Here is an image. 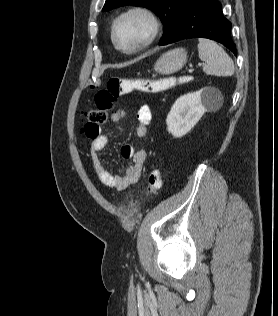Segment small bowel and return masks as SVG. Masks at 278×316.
I'll list each match as a JSON object with an SVG mask.
<instances>
[{
    "instance_id": "small-bowel-1",
    "label": "small bowel",
    "mask_w": 278,
    "mask_h": 316,
    "mask_svg": "<svg viewBox=\"0 0 278 316\" xmlns=\"http://www.w3.org/2000/svg\"><path fill=\"white\" fill-rule=\"evenodd\" d=\"M125 116L126 112L124 110L115 111L111 114V121L113 123H119L125 118ZM136 119V136L138 138H143L146 136L152 120L150 107L146 104L142 105L136 113ZM85 135L91 140L90 156L95 173L101 183L109 188L123 191L139 181L147 159L145 151L135 150V148L131 145L123 146L121 148V155L123 158L131 159V164L125 170L123 175H115L101 159V153L108 143L107 136L102 134L100 130L95 135L91 136L86 133Z\"/></svg>"
}]
</instances>
